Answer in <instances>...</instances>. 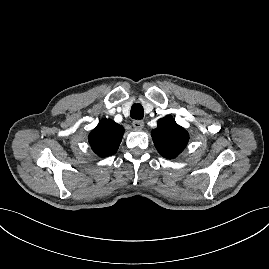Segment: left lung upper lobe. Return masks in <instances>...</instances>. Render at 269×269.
<instances>
[{
  "mask_svg": "<svg viewBox=\"0 0 269 269\" xmlns=\"http://www.w3.org/2000/svg\"><path fill=\"white\" fill-rule=\"evenodd\" d=\"M152 138L160 155L173 159L186 147L189 135L171 115H167L158 120L157 128L152 130Z\"/></svg>",
  "mask_w": 269,
  "mask_h": 269,
  "instance_id": "5c2ea615",
  "label": "left lung upper lobe"
}]
</instances>
